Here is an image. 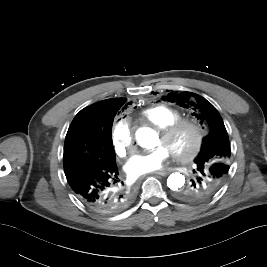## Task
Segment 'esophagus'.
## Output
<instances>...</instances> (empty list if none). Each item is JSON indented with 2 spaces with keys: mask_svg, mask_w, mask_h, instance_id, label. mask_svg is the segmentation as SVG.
<instances>
[{
  "mask_svg": "<svg viewBox=\"0 0 267 267\" xmlns=\"http://www.w3.org/2000/svg\"><path fill=\"white\" fill-rule=\"evenodd\" d=\"M153 174H157L160 176H167L169 174V172L168 171H155V172H153Z\"/></svg>",
  "mask_w": 267,
  "mask_h": 267,
  "instance_id": "esophagus-1",
  "label": "esophagus"
}]
</instances>
